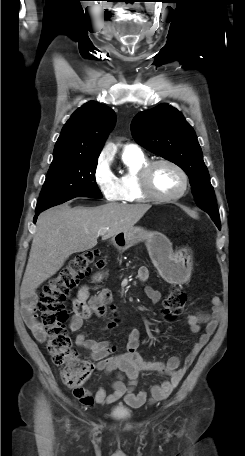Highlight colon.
<instances>
[{"instance_id":"obj_1","label":"colon","mask_w":245,"mask_h":456,"mask_svg":"<svg viewBox=\"0 0 245 456\" xmlns=\"http://www.w3.org/2000/svg\"><path fill=\"white\" fill-rule=\"evenodd\" d=\"M104 261L96 250H88L73 257L59 273L44 285L39 301V310L47 334V349L52 361L62 368L63 382L71 387H80L93 371V364L81 359L73 347L65 328L68 312L64 306L70 292L91 271L92 265L103 266ZM187 301L184 291L170 289L164 301L163 314L174 319L183 310Z\"/></svg>"}]
</instances>
